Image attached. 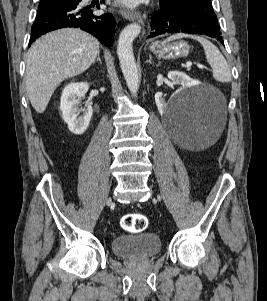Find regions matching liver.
<instances>
[{
    "label": "liver",
    "instance_id": "1",
    "mask_svg": "<svg viewBox=\"0 0 267 301\" xmlns=\"http://www.w3.org/2000/svg\"><path fill=\"white\" fill-rule=\"evenodd\" d=\"M99 52V41L80 29L64 28L38 39L26 59V91L37 113H43L59 84L86 71Z\"/></svg>",
    "mask_w": 267,
    "mask_h": 301
}]
</instances>
